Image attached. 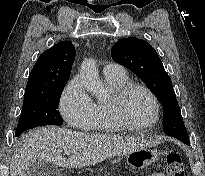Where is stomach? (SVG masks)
Returning <instances> with one entry per match:
<instances>
[{
	"label": "stomach",
	"mask_w": 205,
	"mask_h": 176,
	"mask_svg": "<svg viewBox=\"0 0 205 176\" xmlns=\"http://www.w3.org/2000/svg\"><path fill=\"white\" fill-rule=\"evenodd\" d=\"M158 159V153L149 148H142L127 154V165L133 169H144Z\"/></svg>",
	"instance_id": "1"
}]
</instances>
